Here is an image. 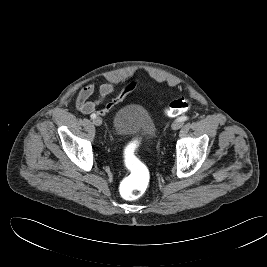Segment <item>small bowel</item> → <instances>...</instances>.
<instances>
[{
	"mask_svg": "<svg viewBox=\"0 0 267 267\" xmlns=\"http://www.w3.org/2000/svg\"><path fill=\"white\" fill-rule=\"evenodd\" d=\"M135 87V82L127 84L115 97L107 100L115 91V85L112 82H106L99 86L98 97L91 99L95 92L93 83L86 84L80 91L76 99V109L84 114L97 113L100 116L107 115L116 105L121 103Z\"/></svg>",
	"mask_w": 267,
	"mask_h": 267,
	"instance_id": "c3829d8e",
	"label": "small bowel"
}]
</instances>
